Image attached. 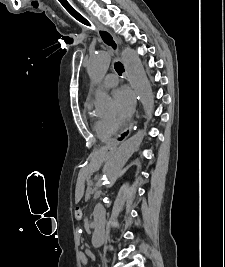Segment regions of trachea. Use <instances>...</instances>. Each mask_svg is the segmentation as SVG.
I'll use <instances>...</instances> for the list:
<instances>
[{"label":"trachea","mask_w":225,"mask_h":267,"mask_svg":"<svg viewBox=\"0 0 225 267\" xmlns=\"http://www.w3.org/2000/svg\"><path fill=\"white\" fill-rule=\"evenodd\" d=\"M74 10V9H73ZM71 14V13H70ZM77 21H79L80 23L84 24V25H87V26H91V24L89 23V21L84 18L81 14H79L77 11H75L74 14H71ZM102 36V39L104 40L105 37H108V34L107 33H102L101 34ZM105 41V40H104ZM115 70L116 72L121 75L123 72H124V67L122 65V63L120 62H116L115 63Z\"/></svg>","instance_id":"3493384b"}]
</instances>
